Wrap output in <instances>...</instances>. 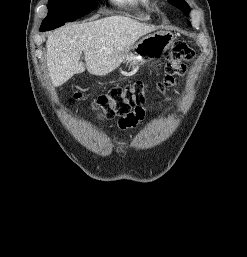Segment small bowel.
Returning a JSON list of instances; mask_svg holds the SVG:
<instances>
[{
    "mask_svg": "<svg viewBox=\"0 0 247 257\" xmlns=\"http://www.w3.org/2000/svg\"><path fill=\"white\" fill-rule=\"evenodd\" d=\"M144 118V110H136L126 119L119 122V127L121 129L131 128L137 126V124L143 120Z\"/></svg>",
    "mask_w": 247,
    "mask_h": 257,
    "instance_id": "small-bowel-1",
    "label": "small bowel"
}]
</instances>
